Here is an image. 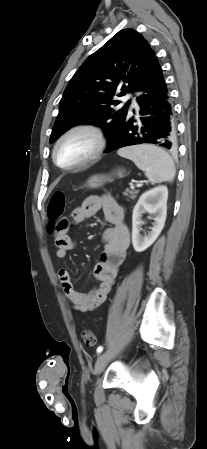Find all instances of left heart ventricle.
I'll list each match as a JSON object with an SVG mask.
<instances>
[{"label": "left heart ventricle", "mask_w": 207, "mask_h": 449, "mask_svg": "<svg viewBox=\"0 0 207 449\" xmlns=\"http://www.w3.org/2000/svg\"><path fill=\"white\" fill-rule=\"evenodd\" d=\"M93 138L77 133L65 139L58 147L56 157L61 165H70L86 157L93 149Z\"/></svg>", "instance_id": "obj_1"}]
</instances>
